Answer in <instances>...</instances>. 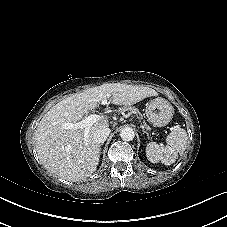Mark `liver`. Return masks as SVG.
<instances>
[{"instance_id": "liver-1", "label": "liver", "mask_w": 227, "mask_h": 227, "mask_svg": "<svg viewBox=\"0 0 227 227\" xmlns=\"http://www.w3.org/2000/svg\"><path fill=\"white\" fill-rule=\"evenodd\" d=\"M158 93L144 86L105 84L75 93L54 105L41 119L35 132V148L45 169L67 181L84 180L96 171L100 158L94 133L109 126L100 119L89 129L65 128L78 123L90 110L109 100L115 105L130 106Z\"/></svg>"}]
</instances>
